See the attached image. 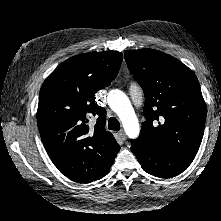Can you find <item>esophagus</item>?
Here are the masks:
<instances>
[{
  "instance_id": "esophagus-1",
  "label": "esophagus",
  "mask_w": 221,
  "mask_h": 221,
  "mask_svg": "<svg viewBox=\"0 0 221 221\" xmlns=\"http://www.w3.org/2000/svg\"><path fill=\"white\" fill-rule=\"evenodd\" d=\"M117 134L120 139H122L123 141L126 140L127 136L124 131H119Z\"/></svg>"
}]
</instances>
